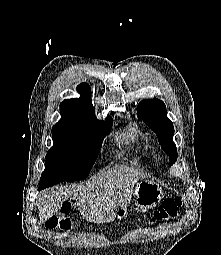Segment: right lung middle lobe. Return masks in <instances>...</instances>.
<instances>
[{
	"label": "right lung middle lobe",
	"instance_id": "obj_1",
	"mask_svg": "<svg viewBox=\"0 0 221 255\" xmlns=\"http://www.w3.org/2000/svg\"><path fill=\"white\" fill-rule=\"evenodd\" d=\"M112 118L98 122V128L88 130L67 126H53V146L47 152L45 170L39 185L46 187L64 181L74 182L89 175L101 150Z\"/></svg>",
	"mask_w": 221,
	"mask_h": 255
}]
</instances>
